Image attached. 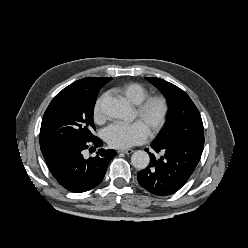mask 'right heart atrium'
Returning a JSON list of instances; mask_svg holds the SVG:
<instances>
[{
    "instance_id": "right-heart-atrium-1",
    "label": "right heart atrium",
    "mask_w": 248,
    "mask_h": 248,
    "mask_svg": "<svg viewBox=\"0 0 248 248\" xmlns=\"http://www.w3.org/2000/svg\"><path fill=\"white\" fill-rule=\"evenodd\" d=\"M103 100H104V96L100 97L95 103L93 109V118L98 123H102L105 120V114L103 111Z\"/></svg>"
}]
</instances>
